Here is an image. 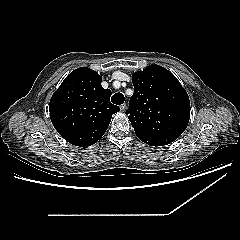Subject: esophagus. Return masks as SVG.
Returning <instances> with one entry per match:
<instances>
[{
    "label": "esophagus",
    "instance_id": "esophagus-1",
    "mask_svg": "<svg viewBox=\"0 0 240 240\" xmlns=\"http://www.w3.org/2000/svg\"><path fill=\"white\" fill-rule=\"evenodd\" d=\"M120 109L122 112H124L126 110V104L125 103L121 104Z\"/></svg>",
    "mask_w": 240,
    "mask_h": 240
}]
</instances>
